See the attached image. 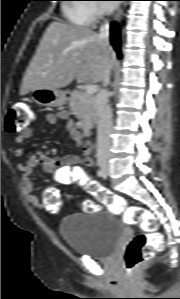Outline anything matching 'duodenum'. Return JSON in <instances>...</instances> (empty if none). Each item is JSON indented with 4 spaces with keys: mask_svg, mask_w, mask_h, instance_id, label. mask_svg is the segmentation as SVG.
Instances as JSON below:
<instances>
[{
    "mask_svg": "<svg viewBox=\"0 0 180 299\" xmlns=\"http://www.w3.org/2000/svg\"><path fill=\"white\" fill-rule=\"evenodd\" d=\"M71 96H72V94L70 93L69 97H71ZM83 132L86 136H90L93 133L92 126L90 124H87V123L83 124Z\"/></svg>",
    "mask_w": 180,
    "mask_h": 299,
    "instance_id": "1",
    "label": "duodenum"
}]
</instances>
